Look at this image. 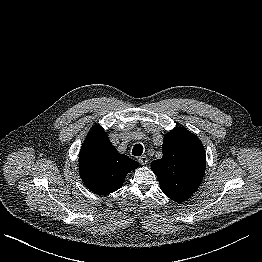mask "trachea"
Listing matches in <instances>:
<instances>
[{"label": "trachea", "mask_w": 262, "mask_h": 262, "mask_svg": "<svg viewBox=\"0 0 262 262\" xmlns=\"http://www.w3.org/2000/svg\"><path fill=\"white\" fill-rule=\"evenodd\" d=\"M143 153V146L141 144L134 145L132 149V155L134 156H141Z\"/></svg>", "instance_id": "trachea-1"}]
</instances>
